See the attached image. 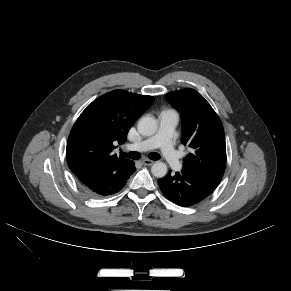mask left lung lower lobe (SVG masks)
<instances>
[{
	"label": "left lung lower lobe",
	"mask_w": 291,
	"mask_h": 291,
	"mask_svg": "<svg viewBox=\"0 0 291 291\" xmlns=\"http://www.w3.org/2000/svg\"><path fill=\"white\" fill-rule=\"evenodd\" d=\"M170 172L164 178L158 180V185L168 200L184 207L201 202L219 184L187 169H182L175 175H171Z\"/></svg>",
	"instance_id": "0a47b994"
}]
</instances>
